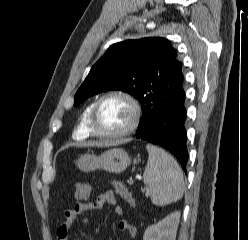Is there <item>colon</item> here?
<instances>
[{
	"label": "colon",
	"mask_w": 248,
	"mask_h": 240,
	"mask_svg": "<svg viewBox=\"0 0 248 240\" xmlns=\"http://www.w3.org/2000/svg\"><path fill=\"white\" fill-rule=\"evenodd\" d=\"M112 184H113L115 192L120 197L125 199L131 205L135 204L134 197L121 182L113 181ZM90 190H91V186L89 183L83 182L79 184L75 192V199L77 200V202L79 203L85 202L90 195Z\"/></svg>",
	"instance_id": "obj_1"
}]
</instances>
